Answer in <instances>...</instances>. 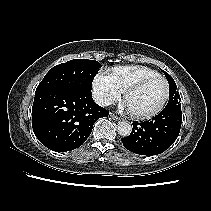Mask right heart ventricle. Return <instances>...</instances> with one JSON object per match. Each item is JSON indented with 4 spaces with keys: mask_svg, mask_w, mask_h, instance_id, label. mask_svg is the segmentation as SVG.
<instances>
[{
    "mask_svg": "<svg viewBox=\"0 0 211 211\" xmlns=\"http://www.w3.org/2000/svg\"><path fill=\"white\" fill-rule=\"evenodd\" d=\"M111 74L122 92L145 77L160 75L156 70L142 65L117 66Z\"/></svg>",
    "mask_w": 211,
    "mask_h": 211,
    "instance_id": "right-heart-ventricle-1",
    "label": "right heart ventricle"
}]
</instances>
